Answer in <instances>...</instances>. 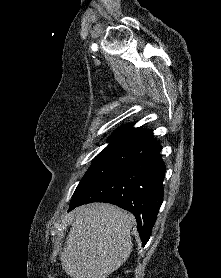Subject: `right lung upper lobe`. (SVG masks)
<instances>
[{
	"mask_svg": "<svg viewBox=\"0 0 221 278\" xmlns=\"http://www.w3.org/2000/svg\"><path fill=\"white\" fill-rule=\"evenodd\" d=\"M152 132L146 129L133 128L132 124H125L118 128L109 141L123 145H128L133 148H146L157 144V141L151 138Z\"/></svg>",
	"mask_w": 221,
	"mask_h": 278,
	"instance_id": "cb5924a9",
	"label": "right lung upper lobe"
}]
</instances>
